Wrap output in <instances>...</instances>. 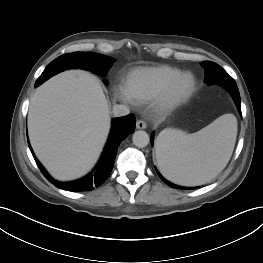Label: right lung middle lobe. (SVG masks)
I'll list each match as a JSON object with an SVG mask.
<instances>
[{"mask_svg": "<svg viewBox=\"0 0 263 263\" xmlns=\"http://www.w3.org/2000/svg\"><path fill=\"white\" fill-rule=\"evenodd\" d=\"M114 62L113 58L92 53V52H74L64 54L53 60L41 74L44 76H53L65 69L83 68L91 70L97 74H105Z\"/></svg>", "mask_w": 263, "mask_h": 263, "instance_id": "dd1d6c3e", "label": "right lung middle lobe"}]
</instances>
